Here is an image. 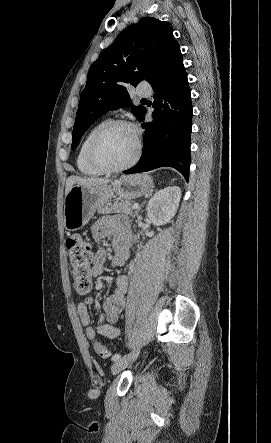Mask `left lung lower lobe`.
<instances>
[{"instance_id":"0a47b994","label":"left lung lower lobe","mask_w":271,"mask_h":443,"mask_svg":"<svg viewBox=\"0 0 271 443\" xmlns=\"http://www.w3.org/2000/svg\"><path fill=\"white\" fill-rule=\"evenodd\" d=\"M156 92L153 121L145 129L143 153L139 162L125 174L169 166L189 179L192 103L180 48L175 47L147 79ZM146 109L138 119L144 121Z\"/></svg>"}]
</instances>
